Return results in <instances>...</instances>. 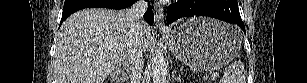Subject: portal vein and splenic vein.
Wrapping results in <instances>:
<instances>
[{"label": "portal vein and splenic vein", "instance_id": "portal-vein-and-splenic-vein-1", "mask_svg": "<svg viewBox=\"0 0 307 83\" xmlns=\"http://www.w3.org/2000/svg\"><path fill=\"white\" fill-rule=\"evenodd\" d=\"M217 76H218V73H213V74L211 75L212 78H216Z\"/></svg>", "mask_w": 307, "mask_h": 83}]
</instances>
